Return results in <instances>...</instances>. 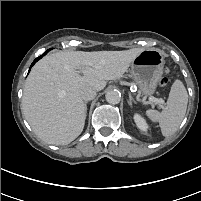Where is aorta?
<instances>
[{"mask_svg":"<svg viewBox=\"0 0 201 201\" xmlns=\"http://www.w3.org/2000/svg\"><path fill=\"white\" fill-rule=\"evenodd\" d=\"M105 98L110 104H118L121 100V94L118 91L110 90L106 93Z\"/></svg>","mask_w":201,"mask_h":201,"instance_id":"aorta-1","label":"aorta"}]
</instances>
